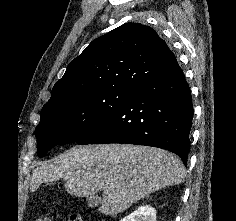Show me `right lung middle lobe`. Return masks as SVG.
Segmentation results:
<instances>
[{"label": "right lung middle lobe", "instance_id": "obj_1", "mask_svg": "<svg viewBox=\"0 0 236 221\" xmlns=\"http://www.w3.org/2000/svg\"><path fill=\"white\" fill-rule=\"evenodd\" d=\"M134 93L132 89H115L79 97L65 104L43 107L40 123L35 129L39 157L55 145L77 142Z\"/></svg>", "mask_w": 236, "mask_h": 221}]
</instances>
